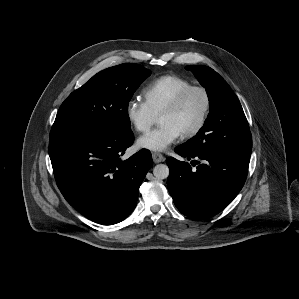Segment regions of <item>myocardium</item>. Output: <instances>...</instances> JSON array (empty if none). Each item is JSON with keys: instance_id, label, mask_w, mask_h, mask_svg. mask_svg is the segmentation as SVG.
Instances as JSON below:
<instances>
[{"instance_id": "myocardium-1", "label": "myocardium", "mask_w": 299, "mask_h": 299, "mask_svg": "<svg viewBox=\"0 0 299 299\" xmlns=\"http://www.w3.org/2000/svg\"><path fill=\"white\" fill-rule=\"evenodd\" d=\"M194 92H199L203 96L204 108L198 122L192 128L182 133V136L185 138H190L197 135L204 128L207 122L212 104L211 96L207 88L197 85L188 87L187 89L179 93L160 113V115H162L176 112L181 108L188 97Z\"/></svg>"}]
</instances>
